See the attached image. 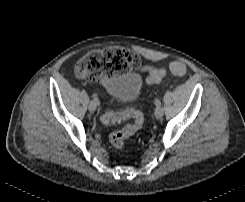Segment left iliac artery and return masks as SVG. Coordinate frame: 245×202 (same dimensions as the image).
Listing matches in <instances>:
<instances>
[{"mask_svg":"<svg viewBox=\"0 0 245 202\" xmlns=\"http://www.w3.org/2000/svg\"><path fill=\"white\" fill-rule=\"evenodd\" d=\"M154 104L159 107L161 106V101L159 99H155Z\"/></svg>","mask_w":245,"mask_h":202,"instance_id":"1","label":"left iliac artery"}]
</instances>
